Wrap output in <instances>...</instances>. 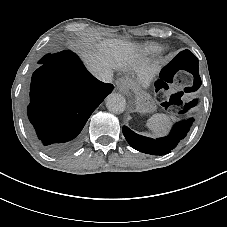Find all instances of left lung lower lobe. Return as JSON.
<instances>
[{"instance_id": "1", "label": "left lung lower lobe", "mask_w": 227, "mask_h": 227, "mask_svg": "<svg viewBox=\"0 0 227 227\" xmlns=\"http://www.w3.org/2000/svg\"><path fill=\"white\" fill-rule=\"evenodd\" d=\"M186 110L187 107L181 113L186 112ZM192 122L193 119L183 120L173 127L168 136L158 139L138 135L126 126L122 130L126 140L134 149L151 155H165L170 153L179 141L186 136Z\"/></svg>"}]
</instances>
